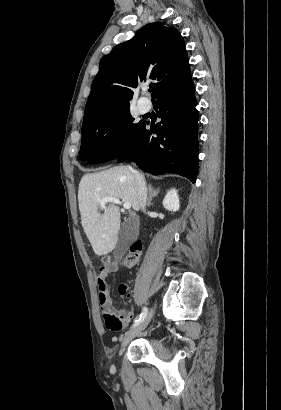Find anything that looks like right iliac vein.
Here are the masks:
<instances>
[{
    "label": "right iliac vein",
    "mask_w": 281,
    "mask_h": 410,
    "mask_svg": "<svg viewBox=\"0 0 281 410\" xmlns=\"http://www.w3.org/2000/svg\"><path fill=\"white\" fill-rule=\"evenodd\" d=\"M152 315H153V310L150 311L148 316H146V318L139 325H137L134 329H132L125 335V337L123 338L122 344H121L122 349L126 347L133 338L138 336L147 327V325L149 324L152 318Z\"/></svg>",
    "instance_id": "1"
}]
</instances>
